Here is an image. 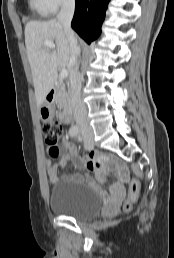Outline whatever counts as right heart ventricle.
Listing matches in <instances>:
<instances>
[{"label": "right heart ventricle", "mask_w": 174, "mask_h": 258, "mask_svg": "<svg viewBox=\"0 0 174 258\" xmlns=\"http://www.w3.org/2000/svg\"><path fill=\"white\" fill-rule=\"evenodd\" d=\"M30 7L40 15H46L47 10L42 0H29Z\"/></svg>", "instance_id": "right-heart-ventricle-1"}]
</instances>
